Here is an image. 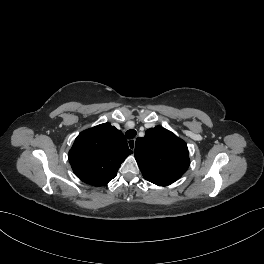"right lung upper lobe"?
Returning a JSON list of instances; mask_svg holds the SVG:
<instances>
[{"mask_svg": "<svg viewBox=\"0 0 264 264\" xmlns=\"http://www.w3.org/2000/svg\"><path fill=\"white\" fill-rule=\"evenodd\" d=\"M132 153L123 133L104 123L81 132L68 158L80 180L103 186L117 175L121 163Z\"/></svg>", "mask_w": 264, "mask_h": 264, "instance_id": "cb5924a9", "label": "right lung upper lobe"}]
</instances>
